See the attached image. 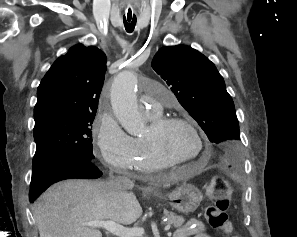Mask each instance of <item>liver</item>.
Segmentation results:
<instances>
[{"label": "liver", "mask_w": 297, "mask_h": 237, "mask_svg": "<svg viewBox=\"0 0 297 237\" xmlns=\"http://www.w3.org/2000/svg\"><path fill=\"white\" fill-rule=\"evenodd\" d=\"M40 237H102L90 221L130 225L142 208L132 192L121 193L110 182L66 180L50 187L33 206Z\"/></svg>", "instance_id": "liver-1"}]
</instances>
